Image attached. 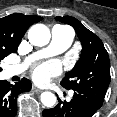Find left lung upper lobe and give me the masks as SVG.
Listing matches in <instances>:
<instances>
[{
    "mask_svg": "<svg viewBox=\"0 0 117 117\" xmlns=\"http://www.w3.org/2000/svg\"><path fill=\"white\" fill-rule=\"evenodd\" d=\"M56 20L71 25L82 44L80 60L61 81L66 89L84 94L102 106L110 83V60L100 40L74 17H56Z\"/></svg>",
    "mask_w": 117,
    "mask_h": 117,
    "instance_id": "obj_1",
    "label": "left lung upper lobe"
}]
</instances>
